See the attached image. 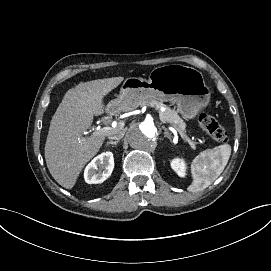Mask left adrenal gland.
Returning a JSON list of instances; mask_svg holds the SVG:
<instances>
[{
    "label": "left adrenal gland",
    "mask_w": 271,
    "mask_h": 271,
    "mask_svg": "<svg viewBox=\"0 0 271 271\" xmlns=\"http://www.w3.org/2000/svg\"><path fill=\"white\" fill-rule=\"evenodd\" d=\"M162 129L165 131L164 137L168 138L171 141L170 134L165 126H162Z\"/></svg>",
    "instance_id": "obj_1"
}]
</instances>
